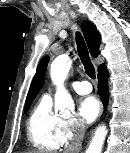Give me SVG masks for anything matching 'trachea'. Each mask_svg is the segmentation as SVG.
Returning a JSON list of instances; mask_svg holds the SVG:
<instances>
[{
	"label": "trachea",
	"instance_id": "1",
	"mask_svg": "<svg viewBox=\"0 0 130 153\" xmlns=\"http://www.w3.org/2000/svg\"><path fill=\"white\" fill-rule=\"evenodd\" d=\"M76 43H77L78 54H79V57L84 65L86 74L90 78L95 79L96 78L95 68L91 62L86 43H85L82 35L79 32L76 33Z\"/></svg>",
	"mask_w": 130,
	"mask_h": 153
}]
</instances>
